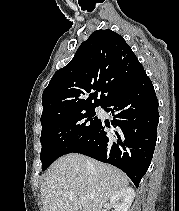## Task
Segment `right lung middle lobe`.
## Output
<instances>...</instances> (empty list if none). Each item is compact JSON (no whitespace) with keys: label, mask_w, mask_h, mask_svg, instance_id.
<instances>
[{"label":"right lung middle lobe","mask_w":179,"mask_h":211,"mask_svg":"<svg viewBox=\"0 0 179 211\" xmlns=\"http://www.w3.org/2000/svg\"><path fill=\"white\" fill-rule=\"evenodd\" d=\"M95 108L57 117L42 127L40 159L46 170L58 157L87 142L99 123Z\"/></svg>","instance_id":"obj_1"}]
</instances>
